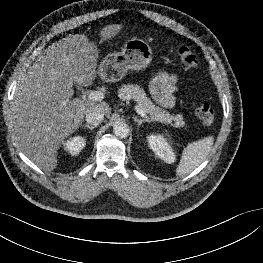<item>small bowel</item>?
I'll use <instances>...</instances> for the list:
<instances>
[{
    "label": "small bowel",
    "instance_id": "c3829d8e",
    "mask_svg": "<svg viewBox=\"0 0 263 263\" xmlns=\"http://www.w3.org/2000/svg\"><path fill=\"white\" fill-rule=\"evenodd\" d=\"M177 80L176 75L166 72H159L153 77L150 92L160 105L171 107L174 104Z\"/></svg>",
    "mask_w": 263,
    "mask_h": 263
}]
</instances>
